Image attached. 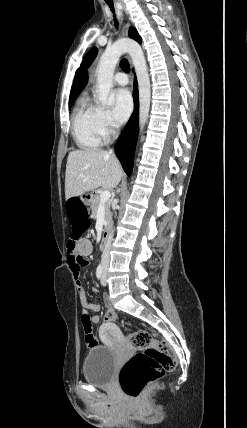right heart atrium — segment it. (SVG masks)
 <instances>
[{
    "mask_svg": "<svg viewBox=\"0 0 247 428\" xmlns=\"http://www.w3.org/2000/svg\"><path fill=\"white\" fill-rule=\"evenodd\" d=\"M97 119L99 131L104 139H108L117 131L118 124L107 110L98 109Z\"/></svg>",
    "mask_w": 247,
    "mask_h": 428,
    "instance_id": "1",
    "label": "right heart atrium"
}]
</instances>
